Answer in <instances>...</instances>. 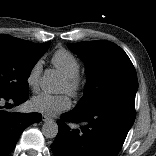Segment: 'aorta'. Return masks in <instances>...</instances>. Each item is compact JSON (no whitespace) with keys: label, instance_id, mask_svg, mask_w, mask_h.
Masks as SVG:
<instances>
[{"label":"aorta","instance_id":"obj_1","mask_svg":"<svg viewBox=\"0 0 156 156\" xmlns=\"http://www.w3.org/2000/svg\"><path fill=\"white\" fill-rule=\"evenodd\" d=\"M40 86L47 93H54L58 86V80L53 71H46L41 78ZM58 125L54 120L46 121L42 126V133L46 138H55L58 134Z\"/></svg>","mask_w":156,"mask_h":156}]
</instances>
